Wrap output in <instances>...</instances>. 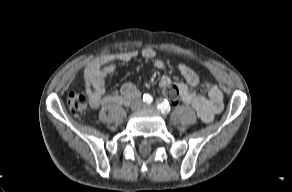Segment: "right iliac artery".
<instances>
[{
  "label": "right iliac artery",
  "mask_w": 292,
  "mask_h": 192,
  "mask_svg": "<svg viewBox=\"0 0 292 192\" xmlns=\"http://www.w3.org/2000/svg\"><path fill=\"white\" fill-rule=\"evenodd\" d=\"M143 101L146 103V104H151L152 101H153V98L151 95L149 94H144L143 95Z\"/></svg>",
  "instance_id": "right-iliac-artery-1"
}]
</instances>
